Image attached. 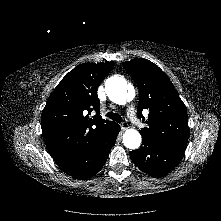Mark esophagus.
<instances>
[{
    "label": "esophagus",
    "instance_id": "esophagus-1",
    "mask_svg": "<svg viewBox=\"0 0 221 221\" xmlns=\"http://www.w3.org/2000/svg\"><path fill=\"white\" fill-rule=\"evenodd\" d=\"M120 125L122 130H126L129 127V125L126 122H122Z\"/></svg>",
    "mask_w": 221,
    "mask_h": 221
}]
</instances>
